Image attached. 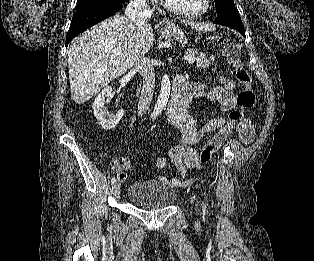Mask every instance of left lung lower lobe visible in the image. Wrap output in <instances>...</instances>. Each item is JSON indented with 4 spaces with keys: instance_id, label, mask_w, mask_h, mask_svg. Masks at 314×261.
I'll use <instances>...</instances> for the list:
<instances>
[{
    "instance_id": "left-lung-lower-lobe-1",
    "label": "left lung lower lobe",
    "mask_w": 314,
    "mask_h": 261,
    "mask_svg": "<svg viewBox=\"0 0 314 261\" xmlns=\"http://www.w3.org/2000/svg\"><path fill=\"white\" fill-rule=\"evenodd\" d=\"M239 31L243 36H245L244 27L243 28H234Z\"/></svg>"
}]
</instances>
